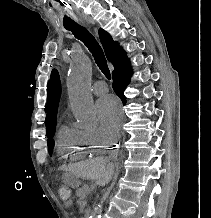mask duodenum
Masks as SVG:
<instances>
[{
	"instance_id": "410a0bca",
	"label": "duodenum",
	"mask_w": 211,
	"mask_h": 218,
	"mask_svg": "<svg viewBox=\"0 0 211 218\" xmlns=\"http://www.w3.org/2000/svg\"><path fill=\"white\" fill-rule=\"evenodd\" d=\"M91 209H85V211H84V217L85 218H90V216H91Z\"/></svg>"
}]
</instances>
